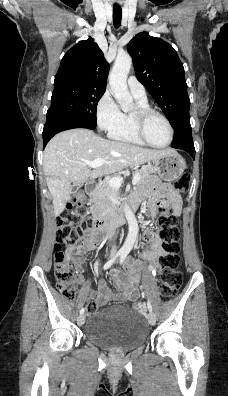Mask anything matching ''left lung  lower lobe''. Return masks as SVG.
<instances>
[{"label": "left lung lower lobe", "instance_id": "0a47b994", "mask_svg": "<svg viewBox=\"0 0 228 396\" xmlns=\"http://www.w3.org/2000/svg\"><path fill=\"white\" fill-rule=\"evenodd\" d=\"M172 147L188 152L194 158V146L189 114L184 115L180 126L174 128Z\"/></svg>", "mask_w": 228, "mask_h": 396}]
</instances>
